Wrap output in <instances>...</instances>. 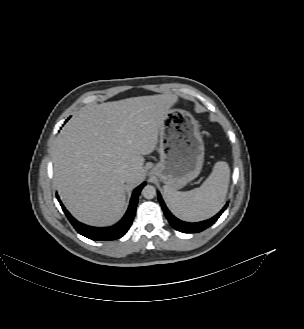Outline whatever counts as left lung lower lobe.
Listing matches in <instances>:
<instances>
[{
    "label": "left lung lower lobe",
    "mask_w": 304,
    "mask_h": 329,
    "mask_svg": "<svg viewBox=\"0 0 304 329\" xmlns=\"http://www.w3.org/2000/svg\"><path fill=\"white\" fill-rule=\"evenodd\" d=\"M158 199H159V202L162 206L164 214L166 215V218L168 219L169 223L176 230L183 232V233H198V232L205 230L206 228L210 227L212 224H214L217 221V219L220 217V215L224 212V210L228 206V203H227L218 214H216L214 217H212L208 220L197 222V223H188V222L179 220L178 218L174 217L171 214V212L165 206L159 193H158Z\"/></svg>",
    "instance_id": "0a47b994"
}]
</instances>
